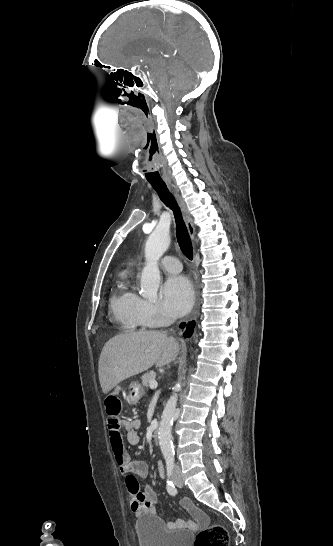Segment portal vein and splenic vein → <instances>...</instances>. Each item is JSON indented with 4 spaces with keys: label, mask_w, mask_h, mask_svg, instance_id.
<instances>
[{
    "label": "portal vein and splenic vein",
    "mask_w": 333,
    "mask_h": 546,
    "mask_svg": "<svg viewBox=\"0 0 333 546\" xmlns=\"http://www.w3.org/2000/svg\"><path fill=\"white\" fill-rule=\"evenodd\" d=\"M149 386H150L151 389H156L157 386H158V383H157V381L153 380V381L150 382Z\"/></svg>",
    "instance_id": "18ae733b"
}]
</instances>
